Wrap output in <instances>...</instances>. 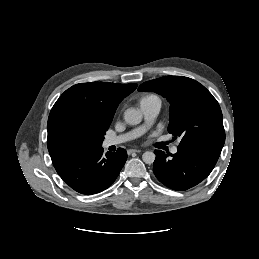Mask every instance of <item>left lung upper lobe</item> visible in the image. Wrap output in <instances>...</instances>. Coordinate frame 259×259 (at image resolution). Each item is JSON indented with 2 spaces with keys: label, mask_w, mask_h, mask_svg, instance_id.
Here are the masks:
<instances>
[{
  "label": "left lung upper lobe",
  "mask_w": 259,
  "mask_h": 259,
  "mask_svg": "<svg viewBox=\"0 0 259 259\" xmlns=\"http://www.w3.org/2000/svg\"><path fill=\"white\" fill-rule=\"evenodd\" d=\"M140 91H154L170 103L168 132L181 137L178 147L212 144L223 147L225 131L220 106L199 82L182 76H166L144 82Z\"/></svg>",
  "instance_id": "left-lung-upper-lobe-1"
}]
</instances>
